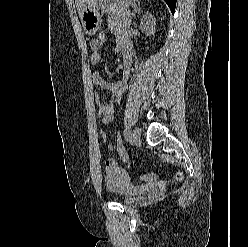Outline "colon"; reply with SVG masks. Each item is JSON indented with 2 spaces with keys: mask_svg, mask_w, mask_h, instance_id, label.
Here are the masks:
<instances>
[{
  "mask_svg": "<svg viewBox=\"0 0 248 247\" xmlns=\"http://www.w3.org/2000/svg\"><path fill=\"white\" fill-rule=\"evenodd\" d=\"M116 150H117L120 162L124 164L127 168L131 169L129 156L124 147V144H123V141H122V138L119 132L116 134ZM140 177L141 179L148 181V180L155 179L156 174L148 173V174L141 175ZM181 177H182L181 174H177L178 179H181Z\"/></svg>",
  "mask_w": 248,
  "mask_h": 247,
  "instance_id": "obj_1",
  "label": "colon"
}]
</instances>
